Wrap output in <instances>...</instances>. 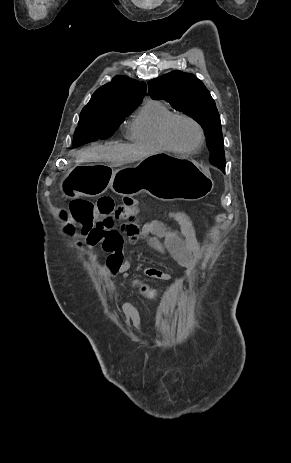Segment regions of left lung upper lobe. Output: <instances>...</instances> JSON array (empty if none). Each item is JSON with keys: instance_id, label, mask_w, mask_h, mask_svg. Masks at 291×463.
<instances>
[{"instance_id": "5c2ea615", "label": "left lung upper lobe", "mask_w": 291, "mask_h": 463, "mask_svg": "<svg viewBox=\"0 0 291 463\" xmlns=\"http://www.w3.org/2000/svg\"><path fill=\"white\" fill-rule=\"evenodd\" d=\"M149 95L163 99L176 110L195 119L204 129L210 148V162L225 167L220 116L205 85L193 74L171 71L148 82Z\"/></svg>"}]
</instances>
